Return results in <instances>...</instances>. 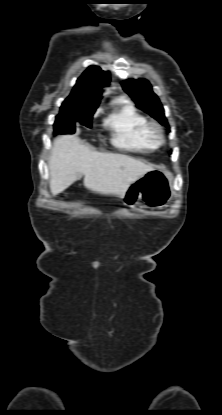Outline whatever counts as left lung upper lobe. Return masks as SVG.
I'll list each match as a JSON object with an SVG mask.
<instances>
[{"label":"left lung upper lobe","mask_w":222,"mask_h":415,"mask_svg":"<svg viewBox=\"0 0 222 415\" xmlns=\"http://www.w3.org/2000/svg\"><path fill=\"white\" fill-rule=\"evenodd\" d=\"M122 86L140 109L158 120L162 125L169 126L164 115L163 106L147 80L129 79L124 81Z\"/></svg>","instance_id":"obj_1"}]
</instances>
